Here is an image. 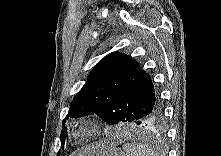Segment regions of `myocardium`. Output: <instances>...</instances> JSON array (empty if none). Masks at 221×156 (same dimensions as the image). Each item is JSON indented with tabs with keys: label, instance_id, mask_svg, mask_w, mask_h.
Returning a JSON list of instances; mask_svg holds the SVG:
<instances>
[{
	"label": "myocardium",
	"instance_id": "f54148a6",
	"mask_svg": "<svg viewBox=\"0 0 221 156\" xmlns=\"http://www.w3.org/2000/svg\"><path fill=\"white\" fill-rule=\"evenodd\" d=\"M100 129V122L92 116L80 117L68 124L66 138L73 143H81L92 138Z\"/></svg>",
	"mask_w": 221,
	"mask_h": 156
}]
</instances>
